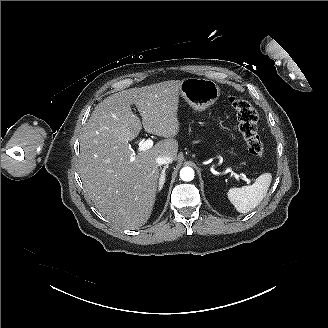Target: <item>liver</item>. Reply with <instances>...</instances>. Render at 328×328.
<instances>
[{
  "label": "liver",
  "mask_w": 328,
  "mask_h": 328,
  "mask_svg": "<svg viewBox=\"0 0 328 328\" xmlns=\"http://www.w3.org/2000/svg\"><path fill=\"white\" fill-rule=\"evenodd\" d=\"M181 86L182 81H167L113 94L95 107L80 136L84 187L99 212L124 229L142 227L152 215L160 177L157 157L177 160ZM133 105L145 130L165 138L136 153L139 167L130 160L135 151L129 143L142 129Z\"/></svg>",
  "instance_id": "6515ba94"
}]
</instances>
